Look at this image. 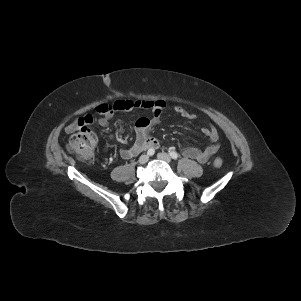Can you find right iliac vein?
Here are the masks:
<instances>
[{"mask_svg":"<svg viewBox=\"0 0 301 301\" xmlns=\"http://www.w3.org/2000/svg\"><path fill=\"white\" fill-rule=\"evenodd\" d=\"M148 161V155H141L139 158L140 164H145Z\"/></svg>","mask_w":301,"mask_h":301,"instance_id":"63e3f726","label":"right iliac vein"}]
</instances>
